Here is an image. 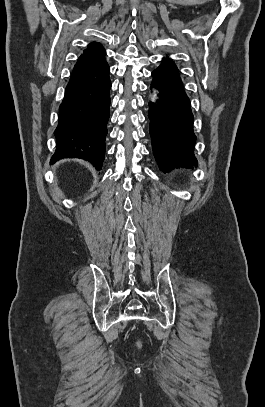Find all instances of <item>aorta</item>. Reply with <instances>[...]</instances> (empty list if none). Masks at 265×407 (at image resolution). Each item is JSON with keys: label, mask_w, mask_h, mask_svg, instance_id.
<instances>
[{"label": "aorta", "mask_w": 265, "mask_h": 407, "mask_svg": "<svg viewBox=\"0 0 265 407\" xmlns=\"http://www.w3.org/2000/svg\"><path fill=\"white\" fill-rule=\"evenodd\" d=\"M152 100L156 99V92L154 94L151 95Z\"/></svg>", "instance_id": "aorta-1"}]
</instances>
